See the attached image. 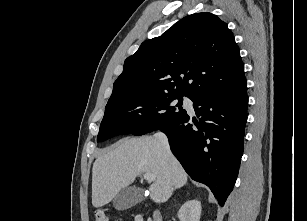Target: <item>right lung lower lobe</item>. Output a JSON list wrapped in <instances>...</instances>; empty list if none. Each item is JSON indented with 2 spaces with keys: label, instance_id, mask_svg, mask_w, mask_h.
<instances>
[{
  "label": "right lung lower lobe",
  "instance_id": "right-lung-lower-lobe-1",
  "mask_svg": "<svg viewBox=\"0 0 307 221\" xmlns=\"http://www.w3.org/2000/svg\"><path fill=\"white\" fill-rule=\"evenodd\" d=\"M192 101L199 124L186 114L160 130L168 136L171 150L185 171L193 180L206 184L223 206L234 187L243 154L247 83Z\"/></svg>",
  "mask_w": 307,
  "mask_h": 221
}]
</instances>
